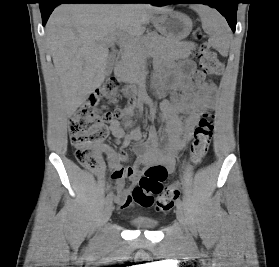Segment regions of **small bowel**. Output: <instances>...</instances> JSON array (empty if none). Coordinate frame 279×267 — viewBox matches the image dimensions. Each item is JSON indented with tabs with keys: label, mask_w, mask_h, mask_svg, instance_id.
Listing matches in <instances>:
<instances>
[{
	"label": "small bowel",
	"mask_w": 279,
	"mask_h": 267,
	"mask_svg": "<svg viewBox=\"0 0 279 267\" xmlns=\"http://www.w3.org/2000/svg\"><path fill=\"white\" fill-rule=\"evenodd\" d=\"M158 68L166 72L168 87L183 91V101L179 105H173L167 101L161 105V111L167 119V144L159 147V134L154 126L148 129L146 136L136 128L132 129L127 136L125 135L124 127L131 125L134 109L139 105L127 107L120 119L111 121L110 132L121 146L127 145L130 141L137 142L134 147L137 164L161 167L165 171L166 179L167 175L175 170L176 155L191 138L201 112L210 102V95L214 92L215 85L212 82H204L197 91L193 92L191 75L195 70V65L189 60L178 64H160ZM118 159L126 160L125 152L120 151L118 157L112 152L108 153L109 167L114 170L112 174L114 195L112 196L115 203L121 209H125L132 204L133 198L124 179L129 177L135 181L138 170L135 167H120Z\"/></svg>",
	"instance_id": "small-bowel-1"
}]
</instances>
